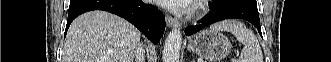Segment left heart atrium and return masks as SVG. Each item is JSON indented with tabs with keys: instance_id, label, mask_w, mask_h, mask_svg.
<instances>
[{
	"instance_id": "left-heart-atrium-1",
	"label": "left heart atrium",
	"mask_w": 331,
	"mask_h": 62,
	"mask_svg": "<svg viewBox=\"0 0 331 62\" xmlns=\"http://www.w3.org/2000/svg\"><path fill=\"white\" fill-rule=\"evenodd\" d=\"M158 3L175 12H188L192 9V0H158Z\"/></svg>"
}]
</instances>
